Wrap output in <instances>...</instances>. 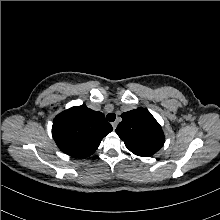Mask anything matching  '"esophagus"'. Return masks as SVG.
Masks as SVG:
<instances>
[{
    "mask_svg": "<svg viewBox=\"0 0 220 220\" xmlns=\"http://www.w3.org/2000/svg\"><path fill=\"white\" fill-rule=\"evenodd\" d=\"M117 125H118V122H117V121H114V122L112 123V127H113L114 130L116 129Z\"/></svg>",
    "mask_w": 220,
    "mask_h": 220,
    "instance_id": "obj_1",
    "label": "esophagus"
}]
</instances>
